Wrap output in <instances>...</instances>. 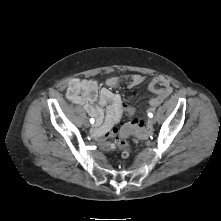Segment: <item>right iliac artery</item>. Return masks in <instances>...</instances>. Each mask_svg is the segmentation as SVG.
<instances>
[{"label":"right iliac artery","mask_w":221,"mask_h":221,"mask_svg":"<svg viewBox=\"0 0 221 221\" xmlns=\"http://www.w3.org/2000/svg\"><path fill=\"white\" fill-rule=\"evenodd\" d=\"M95 120L93 118L90 119V123L93 124Z\"/></svg>","instance_id":"right-iliac-artery-1"}]
</instances>
